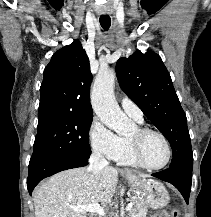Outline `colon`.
<instances>
[{"mask_svg": "<svg viewBox=\"0 0 211 217\" xmlns=\"http://www.w3.org/2000/svg\"><path fill=\"white\" fill-rule=\"evenodd\" d=\"M156 217H179V213L177 210H171L170 212L161 211L156 214Z\"/></svg>", "mask_w": 211, "mask_h": 217, "instance_id": "colon-1", "label": "colon"}]
</instances>
